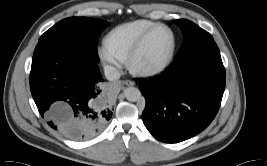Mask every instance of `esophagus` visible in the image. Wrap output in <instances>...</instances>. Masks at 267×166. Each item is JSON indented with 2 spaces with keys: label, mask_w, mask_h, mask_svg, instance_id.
Listing matches in <instances>:
<instances>
[{
  "label": "esophagus",
  "mask_w": 267,
  "mask_h": 166,
  "mask_svg": "<svg viewBox=\"0 0 267 166\" xmlns=\"http://www.w3.org/2000/svg\"><path fill=\"white\" fill-rule=\"evenodd\" d=\"M124 83L128 86H133L134 85V82H132L131 80H126L124 81Z\"/></svg>",
  "instance_id": "esophagus-1"
}]
</instances>
